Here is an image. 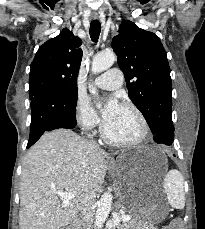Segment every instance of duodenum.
I'll return each instance as SVG.
<instances>
[{"label":"duodenum","mask_w":205,"mask_h":229,"mask_svg":"<svg viewBox=\"0 0 205 229\" xmlns=\"http://www.w3.org/2000/svg\"><path fill=\"white\" fill-rule=\"evenodd\" d=\"M79 228H80L79 224L76 223V224H74V225H72V226H69V227H66V228H64V229H79Z\"/></svg>","instance_id":"410a0bca"}]
</instances>
